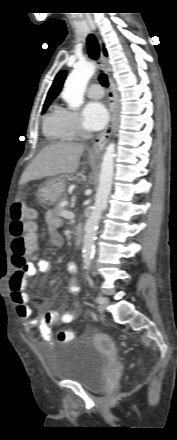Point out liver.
Wrapping results in <instances>:
<instances>
[{
  "mask_svg": "<svg viewBox=\"0 0 177 440\" xmlns=\"http://www.w3.org/2000/svg\"><path fill=\"white\" fill-rule=\"evenodd\" d=\"M84 148L80 143H57L44 147L22 174L20 184L58 174L74 173Z\"/></svg>",
  "mask_w": 177,
  "mask_h": 440,
  "instance_id": "liver-1",
  "label": "liver"
}]
</instances>
